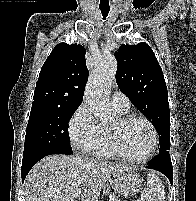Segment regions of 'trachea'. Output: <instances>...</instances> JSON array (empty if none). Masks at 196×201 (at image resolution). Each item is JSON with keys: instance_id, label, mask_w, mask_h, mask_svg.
<instances>
[{"instance_id": "trachea-1", "label": "trachea", "mask_w": 196, "mask_h": 201, "mask_svg": "<svg viewBox=\"0 0 196 201\" xmlns=\"http://www.w3.org/2000/svg\"><path fill=\"white\" fill-rule=\"evenodd\" d=\"M99 9L102 13L103 19H106V17L108 16V13L110 11V7L109 6H107V7L100 6Z\"/></svg>"}]
</instances>
